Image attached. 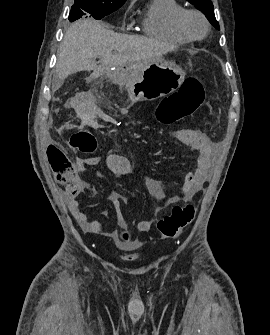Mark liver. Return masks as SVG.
<instances>
[{
	"label": "liver",
	"mask_w": 270,
	"mask_h": 335,
	"mask_svg": "<svg viewBox=\"0 0 270 335\" xmlns=\"http://www.w3.org/2000/svg\"><path fill=\"white\" fill-rule=\"evenodd\" d=\"M165 46L152 38L128 36L106 30L95 20H78L68 28L58 52L57 72L65 80L70 74L82 70L110 72L111 68L127 66L129 78H138L149 66L151 60L161 58L169 52ZM96 58H101V66H96Z\"/></svg>",
	"instance_id": "6515ba94"
}]
</instances>
